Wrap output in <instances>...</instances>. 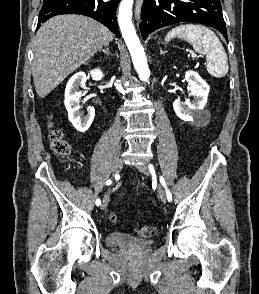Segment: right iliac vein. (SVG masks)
Returning <instances> with one entry per match:
<instances>
[{
	"instance_id": "1",
	"label": "right iliac vein",
	"mask_w": 259,
	"mask_h": 294,
	"mask_svg": "<svg viewBox=\"0 0 259 294\" xmlns=\"http://www.w3.org/2000/svg\"><path fill=\"white\" fill-rule=\"evenodd\" d=\"M123 168V160L119 159L115 162L113 167V173L118 174ZM109 203V194L107 193L102 200L101 209L105 210Z\"/></svg>"
}]
</instances>
